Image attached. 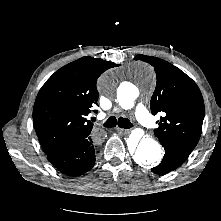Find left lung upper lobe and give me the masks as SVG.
<instances>
[{
    "label": "left lung upper lobe",
    "mask_w": 221,
    "mask_h": 221,
    "mask_svg": "<svg viewBox=\"0 0 221 221\" xmlns=\"http://www.w3.org/2000/svg\"><path fill=\"white\" fill-rule=\"evenodd\" d=\"M135 60L151 64L157 75V85L150 107L154 115L164 117L154 130L162 143H171L189 150L197 145L204 118V102L196 83L176 66L162 59L137 55Z\"/></svg>",
    "instance_id": "1"
}]
</instances>
